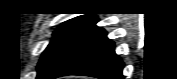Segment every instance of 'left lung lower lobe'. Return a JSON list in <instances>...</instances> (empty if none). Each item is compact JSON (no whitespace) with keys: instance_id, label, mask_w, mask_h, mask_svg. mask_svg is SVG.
<instances>
[{"instance_id":"0a47b994","label":"left lung lower lobe","mask_w":177,"mask_h":79,"mask_svg":"<svg viewBox=\"0 0 177 79\" xmlns=\"http://www.w3.org/2000/svg\"><path fill=\"white\" fill-rule=\"evenodd\" d=\"M123 62L114 52V43L96 27L77 42L49 79L84 75L100 79H123Z\"/></svg>"}]
</instances>
